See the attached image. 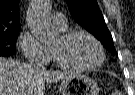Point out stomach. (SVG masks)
Wrapping results in <instances>:
<instances>
[{"label":"stomach","instance_id":"0dacf381","mask_svg":"<svg viewBox=\"0 0 135 95\" xmlns=\"http://www.w3.org/2000/svg\"><path fill=\"white\" fill-rule=\"evenodd\" d=\"M61 95H98L97 82L89 76L76 73L60 84Z\"/></svg>","mask_w":135,"mask_h":95}]
</instances>
